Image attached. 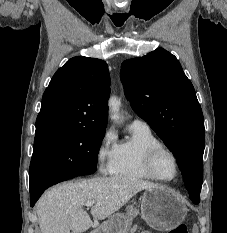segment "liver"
<instances>
[{"mask_svg":"<svg viewBox=\"0 0 227 233\" xmlns=\"http://www.w3.org/2000/svg\"><path fill=\"white\" fill-rule=\"evenodd\" d=\"M158 187L150 182L123 176L92 178L55 186L36 205L41 233L85 232L92 226L89 214L83 209L86 202L94 201L91 215L104 220L138 192Z\"/></svg>","mask_w":227,"mask_h":233,"instance_id":"liver-1","label":"liver"}]
</instances>
